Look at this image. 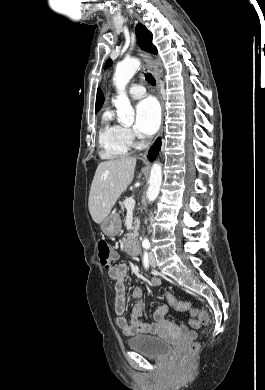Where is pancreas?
I'll list each match as a JSON object with an SVG mask.
<instances>
[{"label": "pancreas", "instance_id": "1", "mask_svg": "<svg viewBox=\"0 0 265 390\" xmlns=\"http://www.w3.org/2000/svg\"><path fill=\"white\" fill-rule=\"evenodd\" d=\"M123 204H124V202H123ZM123 204L121 205V212H124V206H123ZM137 226H138V220H135L134 221V226H133V232H129V233H127L126 235H125V237L127 238H125L124 239V242H126L128 239H130V238H132L133 237V235L136 233V231H137Z\"/></svg>", "mask_w": 265, "mask_h": 390}]
</instances>
